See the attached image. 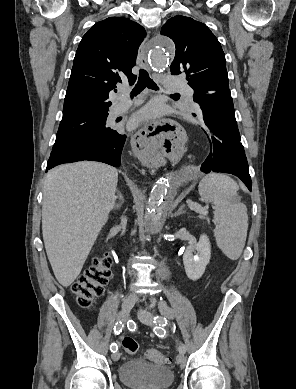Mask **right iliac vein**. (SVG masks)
Here are the masks:
<instances>
[{"mask_svg": "<svg viewBox=\"0 0 296 389\" xmlns=\"http://www.w3.org/2000/svg\"><path fill=\"white\" fill-rule=\"evenodd\" d=\"M136 302V297L132 294L126 296L123 298V301H122V313H121V316H122V319L123 320H126L131 309L133 308L134 304ZM112 359L114 361H118L120 359V353L119 352H114L112 354Z\"/></svg>", "mask_w": 296, "mask_h": 389, "instance_id": "63e3f726", "label": "right iliac vein"}]
</instances>
